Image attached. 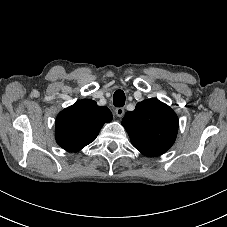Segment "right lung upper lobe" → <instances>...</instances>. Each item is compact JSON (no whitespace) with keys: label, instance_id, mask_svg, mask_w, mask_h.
<instances>
[{"label":"right lung upper lobe","instance_id":"right-lung-upper-lobe-1","mask_svg":"<svg viewBox=\"0 0 227 227\" xmlns=\"http://www.w3.org/2000/svg\"><path fill=\"white\" fill-rule=\"evenodd\" d=\"M112 120L107 107L93 100H79L56 119L55 139L66 151L77 152L95 140L104 123Z\"/></svg>","mask_w":227,"mask_h":227}]
</instances>
